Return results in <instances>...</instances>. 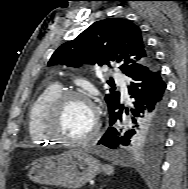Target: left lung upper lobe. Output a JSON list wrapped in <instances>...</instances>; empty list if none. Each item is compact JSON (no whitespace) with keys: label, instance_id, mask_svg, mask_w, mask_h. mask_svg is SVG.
<instances>
[{"label":"left lung upper lobe","instance_id":"left-lung-upper-lobe-1","mask_svg":"<svg viewBox=\"0 0 188 189\" xmlns=\"http://www.w3.org/2000/svg\"><path fill=\"white\" fill-rule=\"evenodd\" d=\"M155 59L148 49L141 30L132 22L121 18H108L93 23L74 40L60 46L48 65L65 64L78 67L81 64L119 63V69L129 76L137 67ZM112 82V78L108 83ZM105 96L109 112L119 105L120 93L110 91ZM165 125L159 127L138 126L127 148L147 147L158 152L162 145Z\"/></svg>","mask_w":188,"mask_h":189}]
</instances>
